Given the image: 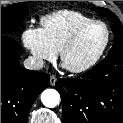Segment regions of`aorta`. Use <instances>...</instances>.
<instances>
[{"label":"aorta","mask_w":123,"mask_h":123,"mask_svg":"<svg viewBox=\"0 0 123 123\" xmlns=\"http://www.w3.org/2000/svg\"><path fill=\"white\" fill-rule=\"evenodd\" d=\"M41 101L44 106L54 108L59 104L60 95L55 89H46L41 94Z\"/></svg>","instance_id":"1"}]
</instances>
